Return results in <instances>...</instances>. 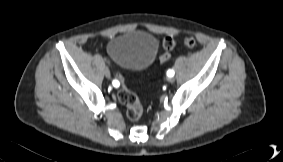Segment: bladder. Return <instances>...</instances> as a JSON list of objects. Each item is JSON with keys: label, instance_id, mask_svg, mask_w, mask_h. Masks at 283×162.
<instances>
[{"label": "bladder", "instance_id": "bladder-1", "mask_svg": "<svg viewBox=\"0 0 283 162\" xmlns=\"http://www.w3.org/2000/svg\"><path fill=\"white\" fill-rule=\"evenodd\" d=\"M112 59L120 66L132 70L149 67L157 57L158 40L144 31H130L114 37L107 46Z\"/></svg>", "mask_w": 283, "mask_h": 162}]
</instances>
